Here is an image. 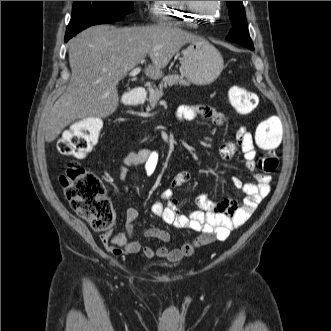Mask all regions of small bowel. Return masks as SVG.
<instances>
[{
  "mask_svg": "<svg viewBox=\"0 0 331 331\" xmlns=\"http://www.w3.org/2000/svg\"><path fill=\"white\" fill-rule=\"evenodd\" d=\"M176 117L180 121L195 119L212 121L218 126L227 123V117L224 113L205 105L180 106L177 109ZM238 150L243 154L244 167L253 171L256 157L255 142L252 134L245 127H240L237 130L235 142L229 141L221 145L219 154L224 161H229ZM157 163L158 153L156 151L141 149L125 155L120 170L124 174L128 166H144L146 174L150 176L154 173ZM190 179L189 172L178 173L170 186L161 192L160 200L152 205L151 213L166 224L198 233L199 235L193 241L174 249L165 246L158 248L143 246L135 238L134 226L139 217V211L132 206L126 210L124 233L112 234L108 232L101 235V241L105 248L114 255L135 254L142 251L148 258L162 257L171 261L180 260L191 255L197 247L208 245L214 240H226L233 229L249 220L260 202L269 195L271 190V177L267 174H255L256 182H244L239 177H234L233 184L246 196L243 202L232 198L216 201L200 194L195 198L198 209L182 213L179 202L174 198V191L189 182ZM143 234L165 243L170 240V234L166 230L154 226L146 228Z\"/></svg>",
  "mask_w": 331,
  "mask_h": 331,
  "instance_id": "c3829d8e",
  "label": "small bowel"
}]
</instances>
